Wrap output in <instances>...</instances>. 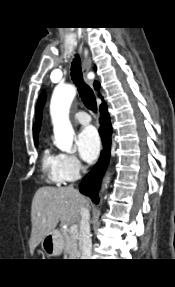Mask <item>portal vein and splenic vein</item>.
<instances>
[{
  "mask_svg": "<svg viewBox=\"0 0 175 287\" xmlns=\"http://www.w3.org/2000/svg\"><path fill=\"white\" fill-rule=\"evenodd\" d=\"M69 229L71 233H75L78 230L77 225H71Z\"/></svg>",
  "mask_w": 175,
  "mask_h": 287,
  "instance_id": "1",
  "label": "portal vein and splenic vein"
}]
</instances>
